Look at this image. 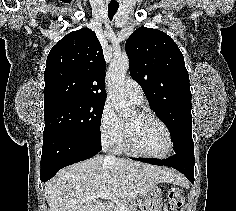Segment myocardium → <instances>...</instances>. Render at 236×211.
<instances>
[{
    "instance_id": "obj_1",
    "label": "myocardium",
    "mask_w": 236,
    "mask_h": 211,
    "mask_svg": "<svg viewBox=\"0 0 236 211\" xmlns=\"http://www.w3.org/2000/svg\"><path fill=\"white\" fill-rule=\"evenodd\" d=\"M136 113L141 118L147 119V120H153L163 127V129L165 130V132L167 134V138H168V148L163 154H160V155L149 154L144 151H141L140 149H138L136 147V145L133 141V137H132V133H131L129 125L126 122H124V139L123 140H124V144H125L126 148L129 151H131L132 153H135L139 156L147 157V158L162 159V158H166L167 156H169L173 150L174 142H173V137H172L171 131H170L169 127L166 125V123L163 122L160 118H158L153 113L149 112L148 110L137 109Z\"/></svg>"
}]
</instances>
